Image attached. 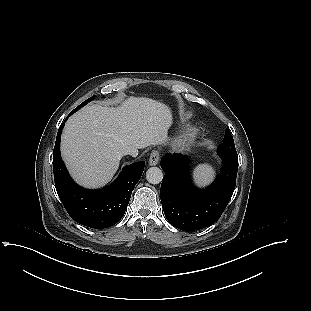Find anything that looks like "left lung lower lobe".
<instances>
[{
  "instance_id": "0a47b994",
  "label": "left lung lower lobe",
  "mask_w": 311,
  "mask_h": 311,
  "mask_svg": "<svg viewBox=\"0 0 311 311\" xmlns=\"http://www.w3.org/2000/svg\"><path fill=\"white\" fill-rule=\"evenodd\" d=\"M221 173L206 189L189 184L188 160L181 154H166L161 160L165 172L160 190L162 207L168 222L183 231H193L215 223L225 210L235 189L238 155L218 150Z\"/></svg>"
}]
</instances>
